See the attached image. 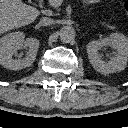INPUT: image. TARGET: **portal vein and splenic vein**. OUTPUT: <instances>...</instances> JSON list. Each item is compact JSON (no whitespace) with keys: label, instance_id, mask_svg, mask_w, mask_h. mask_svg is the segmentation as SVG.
<instances>
[{"label":"portal vein and splenic vein","instance_id":"18ae733b","mask_svg":"<svg viewBox=\"0 0 128 128\" xmlns=\"http://www.w3.org/2000/svg\"><path fill=\"white\" fill-rule=\"evenodd\" d=\"M64 0H49V5L52 7H58L62 4Z\"/></svg>","mask_w":128,"mask_h":128}]
</instances>
